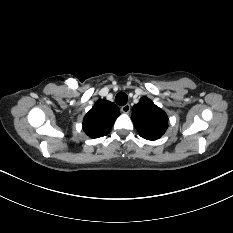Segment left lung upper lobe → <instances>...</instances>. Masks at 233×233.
Listing matches in <instances>:
<instances>
[{
	"mask_svg": "<svg viewBox=\"0 0 233 233\" xmlns=\"http://www.w3.org/2000/svg\"><path fill=\"white\" fill-rule=\"evenodd\" d=\"M131 119L140 136L147 140L159 139L168 127L166 113L147 97L133 106Z\"/></svg>",
	"mask_w": 233,
	"mask_h": 233,
	"instance_id": "5c2ea615",
	"label": "left lung upper lobe"
}]
</instances>
